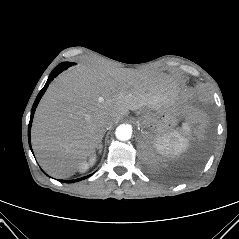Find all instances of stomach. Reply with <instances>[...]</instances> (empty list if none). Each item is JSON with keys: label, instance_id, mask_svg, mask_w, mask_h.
Instances as JSON below:
<instances>
[{"label": "stomach", "instance_id": "0dacf381", "mask_svg": "<svg viewBox=\"0 0 239 239\" xmlns=\"http://www.w3.org/2000/svg\"><path fill=\"white\" fill-rule=\"evenodd\" d=\"M177 109H161L155 112L153 123L149 127L154 137L169 133L180 119Z\"/></svg>", "mask_w": 239, "mask_h": 239}]
</instances>
